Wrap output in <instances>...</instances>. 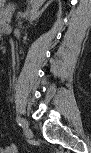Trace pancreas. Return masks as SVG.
<instances>
[{
    "label": "pancreas",
    "instance_id": "obj_1",
    "mask_svg": "<svg viewBox=\"0 0 91 153\" xmlns=\"http://www.w3.org/2000/svg\"><path fill=\"white\" fill-rule=\"evenodd\" d=\"M12 11H13V8L7 7L5 10L1 12V22L3 25L6 26L9 23Z\"/></svg>",
    "mask_w": 91,
    "mask_h": 153
}]
</instances>
